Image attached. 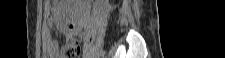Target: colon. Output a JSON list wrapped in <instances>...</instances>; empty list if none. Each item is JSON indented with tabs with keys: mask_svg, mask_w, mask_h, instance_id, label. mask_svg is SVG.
Returning a JSON list of instances; mask_svg holds the SVG:
<instances>
[{
	"mask_svg": "<svg viewBox=\"0 0 225 58\" xmlns=\"http://www.w3.org/2000/svg\"><path fill=\"white\" fill-rule=\"evenodd\" d=\"M80 52V46L76 42L68 43L67 45L63 46L61 57L62 58H74Z\"/></svg>",
	"mask_w": 225,
	"mask_h": 58,
	"instance_id": "colon-1",
	"label": "colon"
}]
</instances>
